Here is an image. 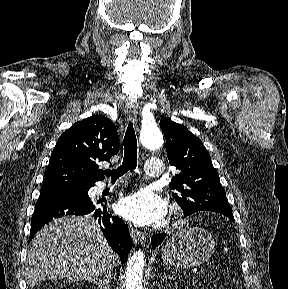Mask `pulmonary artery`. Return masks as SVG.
Instances as JSON below:
<instances>
[{
    "label": "pulmonary artery",
    "instance_id": "pulmonary-artery-1",
    "mask_svg": "<svg viewBox=\"0 0 288 289\" xmlns=\"http://www.w3.org/2000/svg\"><path fill=\"white\" fill-rule=\"evenodd\" d=\"M163 162L157 158H150L145 162V174L149 177H161L163 175ZM104 186H99L98 191H102Z\"/></svg>",
    "mask_w": 288,
    "mask_h": 289
}]
</instances>
